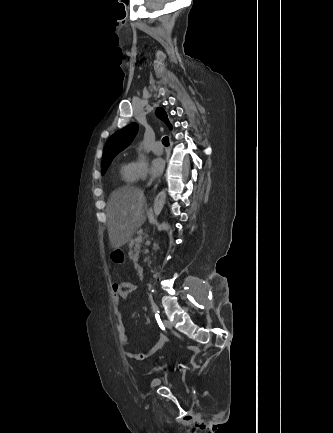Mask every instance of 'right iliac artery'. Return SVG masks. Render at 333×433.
Segmentation results:
<instances>
[{
    "mask_svg": "<svg viewBox=\"0 0 333 433\" xmlns=\"http://www.w3.org/2000/svg\"><path fill=\"white\" fill-rule=\"evenodd\" d=\"M155 317H156V319H157V317H159V315H155ZM159 326H160V328H161L163 331H165V332L167 333V331L165 330L164 325H163L161 322L159 323Z\"/></svg>",
    "mask_w": 333,
    "mask_h": 433,
    "instance_id": "1",
    "label": "right iliac artery"
}]
</instances>
